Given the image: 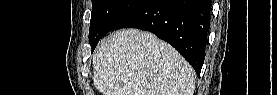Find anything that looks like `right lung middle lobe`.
Wrapping results in <instances>:
<instances>
[{
    "mask_svg": "<svg viewBox=\"0 0 277 95\" xmlns=\"http://www.w3.org/2000/svg\"><path fill=\"white\" fill-rule=\"evenodd\" d=\"M144 0H92L89 43L92 51L99 40Z\"/></svg>",
    "mask_w": 277,
    "mask_h": 95,
    "instance_id": "right-lung-middle-lobe-1",
    "label": "right lung middle lobe"
}]
</instances>
